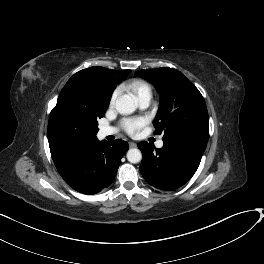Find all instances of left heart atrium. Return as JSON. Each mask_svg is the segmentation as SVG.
<instances>
[{
  "mask_svg": "<svg viewBox=\"0 0 264 264\" xmlns=\"http://www.w3.org/2000/svg\"><path fill=\"white\" fill-rule=\"evenodd\" d=\"M145 123L146 120L142 118L126 119L122 122V125L128 134L134 135L140 130V128H142L145 125Z\"/></svg>",
  "mask_w": 264,
  "mask_h": 264,
  "instance_id": "left-heart-atrium-1",
  "label": "left heart atrium"
}]
</instances>
